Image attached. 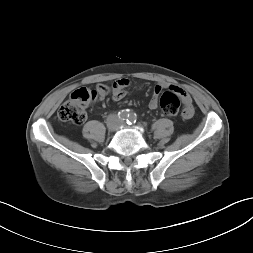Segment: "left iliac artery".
<instances>
[{"instance_id":"44dca946","label":"left iliac artery","mask_w":253,"mask_h":253,"mask_svg":"<svg viewBox=\"0 0 253 253\" xmlns=\"http://www.w3.org/2000/svg\"><path fill=\"white\" fill-rule=\"evenodd\" d=\"M136 121H137V115L135 113H132V112L129 113V116H128V119H127V123L129 125H131V124H135Z\"/></svg>"}]
</instances>
